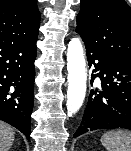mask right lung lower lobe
Listing matches in <instances>:
<instances>
[{"label":"right lung lower lobe","mask_w":131,"mask_h":151,"mask_svg":"<svg viewBox=\"0 0 131 151\" xmlns=\"http://www.w3.org/2000/svg\"><path fill=\"white\" fill-rule=\"evenodd\" d=\"M37 37L0 43V120L21 131L30 141L34 102Z\"/></svg>","instance_id":"1"}]
</instances>
